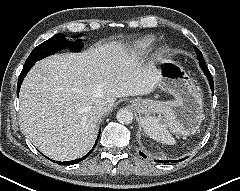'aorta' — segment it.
<instances>
[{
    "label": "aorta",
    "mask_w": 240,
    "mask_h": 191,
    "mask_svg": "<svg viewBox=\"0 0 240 191\" xmlns=\"http://www.w3.org/2000/svg\"><path fill=\"white\" fill-rule=\"evenodd\" d=\"M116 118L117 121L121 124H130L133 121V113L127 108L120 109L117 112Z\"/></svg>",
    "instance_id": "aorta-1"
}]
</instances>
